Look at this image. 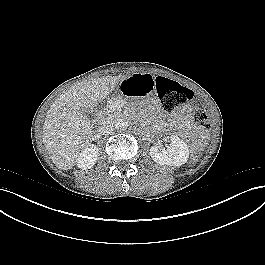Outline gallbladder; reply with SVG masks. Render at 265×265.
<instances>
[{
	"mask_svg": "<svg viewBox=\"0 0 265 265\" xmlns=\"http://www.w3.org/2000/svg\"><path fill=\"white\" fill-rule=\"evenodd\" d=\"M85 115L91 120H93L95 118V113L91 112V111L85 112Z\"/></svg>",
	"mask_w": 265,
	"mask_h": 265,
	"instance_id": "obj_1",
	"label": "gallbladder"
}]
</instances>
